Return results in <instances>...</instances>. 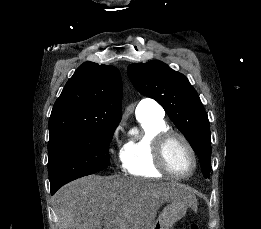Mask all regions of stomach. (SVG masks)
Masks as SVG:
<instances>
[{
  "instance_id": "0dacf381",
  "label": "stomach",
  "mask_w": 261,
  "mask_h": 229,
  "mask_svg": "<svg viewBox=\"0 0 261 229\" xmlns=\"http://www.w3.org/2000/svg\"><path fill=\"white\" fill-rule=\"evenodd\" d=\"M177 187H181L176 183ZM190 201H172L171 205L165 207L155 221L152 229H171L176 221H180L187 213V205Z\"/></svg>"
}]
</instances>
